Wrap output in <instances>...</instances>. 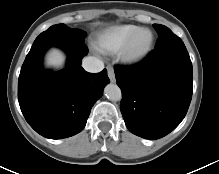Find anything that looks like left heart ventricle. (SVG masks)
I'll use <instances>...</instances> for the list:
<instances>
[{
	"instance_id": "1",
	"label": "left heart ventricle",
	"mask_w": 219,
	"mask_h": 174,
	"mask_svg": "<svg viewBox=\"0 0 219 174\" xmlns=\"http://www.w3.org/2000/svg\"><path fill=\"white\" fill-rule=\"evenodd\" d=\"M149 38H150V34L148 32L145 31L140 33L135 41V45H134L135 48L140 49L144 47L147 44Z\"/></svg>"
}]
</instances>
